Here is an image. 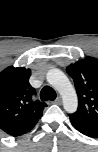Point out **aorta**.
<instances>
[{
	"instance_id": "obj_1",
	"label": "aorta",
	"mask_w": 98,
	"mask_h": 152,
	"mask_svg": "<svg viewBox=\"0 0 98 152\" xmlns=\"http://www.w3.org/2000/svg\"><path fill=\"white\" fill-rule=\"evenodd\" d=\"M46 79L60 93L65 111L68 113L75 112L78 106V98L68 77L59 69H50L47 72Z\"/></svg>"
}]
</instances>
